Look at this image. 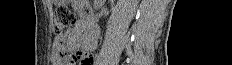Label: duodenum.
<instances>
[{
    "instance_id": "duodenum-1",
    "label": "duodenum",
    "mask_w": 232,
    "mask_h": 65,
    "mask_svg": "<svg viewBox=\"0 0 232 65\" xmlns=\"http://www.w3.org/2000/svg\"><path fill=\"white\" fill-rule=\"evenodd\" d=\"M76 9L78 10L81 17V24L86 30L90 38H97L99 28L94 17V14L84 1H76Z\"/></svg>"
}]
</instances>
